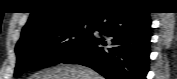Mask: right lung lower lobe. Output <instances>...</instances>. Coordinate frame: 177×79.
I'll return each mask as SVG.
<instances>
[{"instance_id":"obj_1","label":"right lung lower lobe","mask_w":177,"mask_h":79,"mask_svg":"<svg viewBox=\"0 0 177 79\" xmlns=\"http://www.w3.org/2000/svg\"><path fill=\"white\" fill-rule=\"evenodd\" d=\"M150 26L146 10L125 5L106 8L92 20L89 37L60 63L88 66L107 79H145ZM93 31L103 37L94 36Z\"/></svg>"}]
</instances>
